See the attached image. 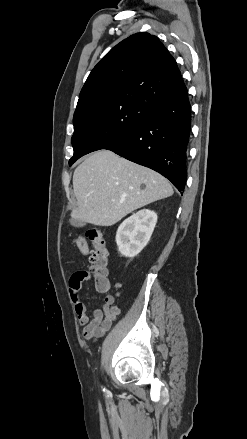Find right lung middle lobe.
I'll return each mask as SVG.
<instances>
[{
  "mask_svg": "<svg viewBox=\"0 0 247 439\" xmlns=\"http://www.w3.org/2000/svg\"><path fill=\"white\" fill-rule=\"evenodd\" d=\"M147 106L130 100L97 105L73 117V157L69 165L85 154L107 149L129 134L144 119Z\"/></svg>",
  "mask_w": 247,
  "mask_h": 439,
  "instance_id": "dd1d6c3e",
  "label": "right lung middle lobe"
}]
</instances>
